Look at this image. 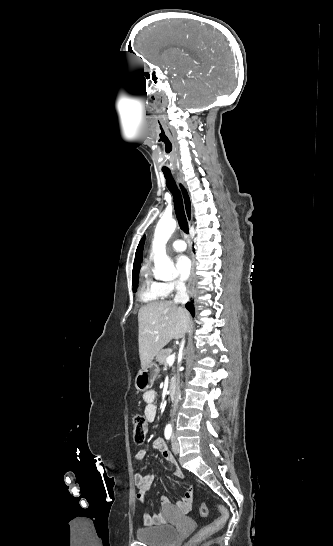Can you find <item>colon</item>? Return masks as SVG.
I'll return each instance as SVG.
<instances>
[{
    "instance_id": "1",
    "label": "colon",
    "mask_w": 333,
    "mask_h": 546,
    "mask_svg": "<svg viewBox=\"0 0 333 546\" xmlns=\"http://www.w3.org/2000/svg\"><path fill=\"white\" fill-rule=\"evenodd\" d=\"M147 422L146 419L142 416H136L133 419L132 424V435L134 442L137 445H141L144 443L147 435ZM217 510L219 511V517L214 520L211 524L205 526L202 528L196 535V538L201 539L208 537L221 529L228 521L229 519V513L228 510L222 506V505H216ZM199 513L202 517H206L208 515V505L206 503H202L199 508ZM184 546H190V544H186Z\"/></svg>"
}]
</instances>
